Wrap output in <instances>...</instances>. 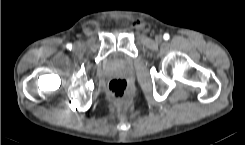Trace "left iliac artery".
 I'll use <instances>...</instances> for the list:
<instances>
[{"instance_id": "left-iliac-artery-1", "label": "left iliac artery", "mask_w": 245, "mask_h": 145, "mask_svg": "<svg viewBox=\"0 0 245 145\" xmlns=\"http://www.w3.org/2000/svg\"><path fill=\"white\" fill-rule=\"evenodd\" d=\"M163 37H164L165 40H168L169 39V34L165 33Z\"/></svg>"}]
</instances>
